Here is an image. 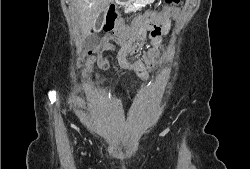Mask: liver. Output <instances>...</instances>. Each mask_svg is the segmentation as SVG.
Wrapping results in <instances>:
<instances>
[{
	"label": "liver",
	"instance_id": "obj_1",
	"mask_svg": "<svg viewBox=\"0 0 250 169\" xmlns=\"http://www.w3.org/2000/svg\"><path fill=\"white\" fill-rule=\"evenodd\" d=\"M112 0H74L76 6L80 30L83 34H88L95 26L96 18L105 10Z\"/></svg>",
	"mask_w": 250,
	"mask_h": 169
}]
</instances>
